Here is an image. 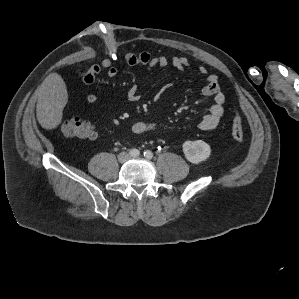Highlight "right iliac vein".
Listing matches in <instances>:
<instances>
[{
    "label": "right iliac vein",
    "instance_id": "obj_1",
    "mask_svg": "<svg viewBox=\"0 0 299 299\" xmlns=\"http://www.w3.org/2000/svg\"><path fill=\"white\" fill-rule=\"evenodd\" d=\"M129 157L130 156H129L128 153L122 152V153L119 154L118 160H119V162L124 163V162H126L129 159Z\"/></svg>",
    "mask_w": 299,
    "mask_h": 299
}]
</instances>
